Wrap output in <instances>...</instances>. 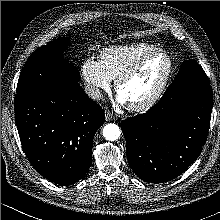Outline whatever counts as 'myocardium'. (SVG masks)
I'll use <instances>...</instances> for the list:
<instances>
[{"label":"myocardium","mask_w":220,"mask_h":220,"mask_svg":"<svg viewBox=\"0 0 220 220\" xmlns=\"http://www.w3.org/2000/svg\"><path fill=\"white\" fill-rule=\"evenodd\" d=\"M159 54L166 56V58L168 59V61H169L168 71H167L166 75L164 76L159 87L153 92V94L150 97H148L146 100H144L142 102L129 105L130 109L133 111L141 112V111L148 110L151 107H153L154 105H156L160 101V99L163 97V95L166 92L167 87L171 81V78L173 76L174 69H175V63H174L172 56L167 51L160 49V48H156V49L144 54L132 66H130L127 70H125L123 73H121L116 78L115 89L119 93L121 86L126 81H128L133 76H135L140 71V69L142 68V66L144 65V63L148 59H150L153 56L159 55Z\"/></svg>","instance_id":"obj_1"}]
</instances>
